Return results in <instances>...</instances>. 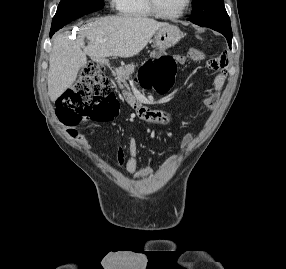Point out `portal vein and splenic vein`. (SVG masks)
Masks as SVG:
<instances>
[{
	"label": "portal vein and splenic vein",
	"instance_id": "obj_1",
	"mask_svg": "<svg viewBox=\"0 0 286 269\" xmlns=\"http://www.w3.org/2000/svg\"><path fill=\"white\" fill-rule=\"evenodd\" d=\"M98 42L104 43V42H106V39H100V40H98Z\"/></svg>",
	"mask_w": 286,
	"mask_h": 269
}]
</instances>
